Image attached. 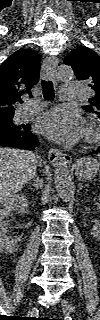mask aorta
I'll return each instance as SVG.
<instances>
[{"mask_svg": "<svg viewBox=\"0 0 100 320\" xmlns=\"http://www.w3.org/2000/svg\"><path fill=\"white\" fill-rule=\"evenodd\" d=\"M56 77L60 81H70L74 77V71L71 66H59L56 71ZM55 187L58 195L64 201H70L73 196L72 180L65 160H61L55 169Z\"/></svg>", "mask_w": 100, "mask_h": 320, "instance_id": "obj_1", "label": "aorta"}]
</instances>
